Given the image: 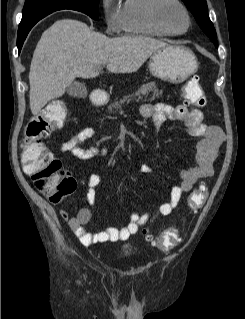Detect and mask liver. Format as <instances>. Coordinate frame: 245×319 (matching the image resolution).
<instances>
[{"instance_id":"obj_1","label":"liver","mask_w":245,"mask_h":319,"mask_svg":"<svg viewBox=\"0 0 245 319\" xmlns=\"http://www.w3.org/2000/svg\"><path fill=\"white\" fill-rule=\"evenodd\" d=\"M163 41L146 36L108 38L75 19L56 21L42 34L29 72V101L37 115L52 99L61 97L76 77H97L99 66L111 73H133Z\"/></svg>"}]
</instances>
